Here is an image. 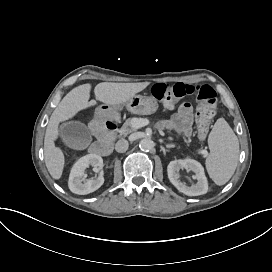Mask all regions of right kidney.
<instances>
[{
	"mask_svg": "<svg viewBox=\"0 0 272 272\" xmlns=\"http://www.w3.org/2000/svg\"><path fill=\"white\" fill-rule=\"evenodd\" d=\"M93 167L95 173H99L98 177L85 179V170ZM103 159L99 155L88 154L81 157L72 167L68 187L71 192L79 195H86L99 189L104 183L103 177Z\"/></svg>",
	"mask_w": 272,
	"mask_h": 272,
	"instance_id": "ca27d5eb",
	"label": "right kidney"
}]
</instances>
